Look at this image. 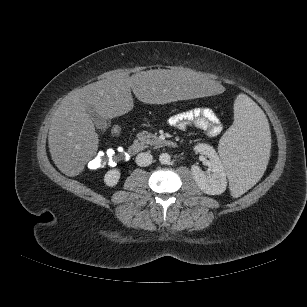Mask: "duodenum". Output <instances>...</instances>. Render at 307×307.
Wrapping results in <instances>:
<instances>
[{"instance_id":"1","label":"duodenum","mask_w":307,"mask_h":307,"mask_svg":"<svg viewBox=\"0 0 307 307\" xmlns=\"http://www.w3.org/2000/svg\"><path fill=\"white\" fill-rule=\"evenodd\" d=\"M159 146H167V147H175L176 143L171 141V140H167V139H161L159 140ZM144 148V145L142 142L136 141V142H132L128 148V154L129 156H135L138 153H140Z\"/></svg>"}]
</instances>
